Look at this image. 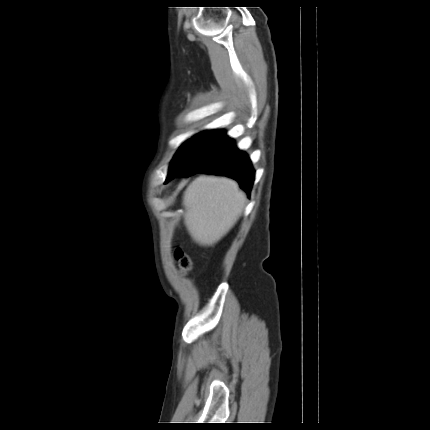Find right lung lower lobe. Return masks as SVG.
<instances>
[{
  "instance_id": "98d812e1",
  "label": "right lung lower lobe",
  "mask_w": 430,
  "mask_h": 430,
  "mask_svg": "<svg viewBox=\"0 0 430 430\" xmlns=\"http://www.w3.org/2000/svg\"><path fill=\"white\" fill-rule=\"evenodd\" d=\"M196 173L225 175L235 179L249 195L254 170L246 153L239 151L234 141L224 137L198 158L168 176L165 183L175 176H191Z\"/></svg>"
}]
</instances>
